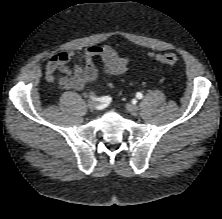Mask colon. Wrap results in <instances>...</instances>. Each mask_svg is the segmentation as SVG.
<instances>
[{
  "label": "colon",
  "mask_w": 222,
  "mask_h": 219,
  "mask_svg": "<svg viewBox=\"0 0 222 219\" xmlns=\"http://www.w3.org/2000/svg\"><path fill=\"white\" fill-rule=\"evenodd\" d=\"M151 57L159 63L166 65H174L178 62L179 57L174 52L152 54Z\"/></svg>",
  "instance_id": "1"
}]
</instances>
